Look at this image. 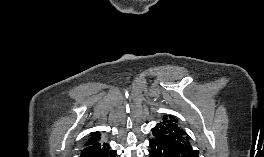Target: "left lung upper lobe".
<instances>
[{
    "label": "left lung upper lobe",
    "instance_id": "left-lung-upper-lobe-1",
    "mask_svg": "<svg viewBox=\"0 0 264 157\" xmlns=\"http://www.w3.org/2000/svg\"><path fill=\"white\" fill-rule=\"evenodd\" d=\"M153 130V138L172 146L181 157H198V151L193 150L186 132L177 124L173 116H165Z\"/></svg>",
    "mask_w": 264,
    "mask_h": 157
}]
</instances>
